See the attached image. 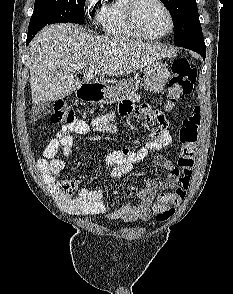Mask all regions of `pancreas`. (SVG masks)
I'll return each instance as SVG.
<instances>
[{
  "label": "pancreas",
  "mask_w": 233,
  "mask_h": 294,
  "mask_svg": "<svg viewBox=\"0 0 233 294\" xmlns=\"http://www.w3.org/2000/svg\"><path fill=\"white\" fill-rule=\"evenodd\" d=\"M126 97L130 100H135V101H138L140 99V96L139 94H137L135 92L134 89H128L127 93H126Z\"/></svg>",
  "instance_id": "cf45deb5"
}]
</instances>
